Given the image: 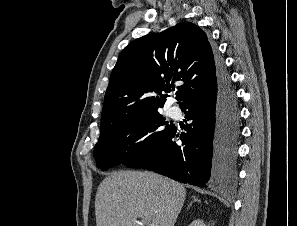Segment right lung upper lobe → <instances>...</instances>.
<instances>
[{
	"instance_id": "obj_1",
	"label": "right lung upper lobe",
	"mask_w": 297,
	"mask_h": 226,
	"mask_svg": "<svg viewBox=\"0 0 297 226\" xmlns=\"http://www.w3.org/2000/svg\"><path fill=\"white\" fill-rule=\"evenodd\" d=\"M216 61L204 31L189 22L132 41L111 73L101 128L159 111L167 98L162 92H169L174 81L184 82L176 97L180 105L208 90L216 82Z\"/></svg>"
}]
</instances>
